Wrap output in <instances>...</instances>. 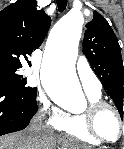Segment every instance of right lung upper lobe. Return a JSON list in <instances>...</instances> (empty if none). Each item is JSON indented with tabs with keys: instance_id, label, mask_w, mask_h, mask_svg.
Instances as JSON below:
<instances>
[{
	"instance_id": "1",
	"label": "right lung upper lobe",
	"mask_w": 124,
	"mask_h": 149,
	"mask_svg": "<svg viewBox=\"0 0 124 149\" xmlns=\"http://www.w3.org/2000/svg\"><path fill=\"white\" fill-rule=\"evenodd\" d=\"M36 4V0H17L0 11V67L20 69L19 58L31 56L42 44L51 18Z\"/></svg>"
}]
</instances>
